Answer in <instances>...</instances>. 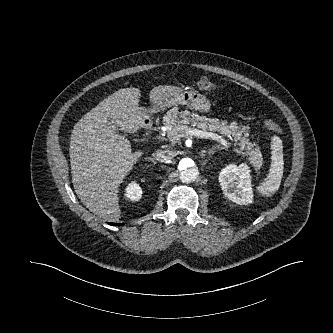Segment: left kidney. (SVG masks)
<instances>
[{
  "mask_svg": "<svg viewBox=\"0 0 333 333\" xmlns=\"http://www.w3.org/2000/svg\"><path fill=\"white\" fill-rule=\"evenodd\" d=\"M224 195L232 202L247 205L253 202L251 176L248 165H228L219 174Z\"/></svg>",
  "mask_w": 333,
  "mask_h": 333,
  "instance_id": "left-kidney-1",
  "label": "left kidney"
}]
</instances>
